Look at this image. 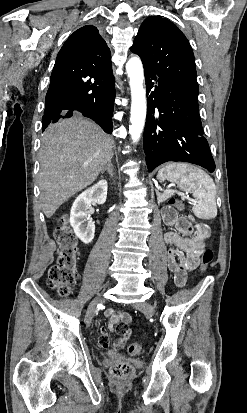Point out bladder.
I'll return each mask as SVG.
<instances>
[{"label":"bladder","instance_id":"bladder-1","mask_svg":"<svg viewBox=\"0 0 247 413\" xmlns=\"http://www.w3.org/2000/svg\"><path fill=\"white\" fill-rule=\"evenodd\" d=\"M108 353L112 354V355L115 356V357H118V354H117L116 352L109 351Z\"/></svg>","mask_w":247,"mask_h":413}]
</instances>
